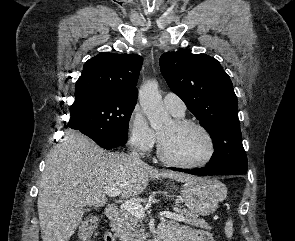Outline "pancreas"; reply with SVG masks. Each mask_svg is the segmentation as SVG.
<instances>
[{
	"instance_id": "pancreas-1",
	"label": "pancreas",
	"mask_w": 295,
	"mask_h": 241,
	"mask_svg": "<svg viewBox=\"0 0 295 241\" xmlns=\"http://www.w3.org/2000/svg\"><path fill=\"white\" fill-rule=\"evenodd\" d=\"M176 209L185 217L184 222L186 224L207 230L211 229L205 220L198 218V216L191 211L181 206ZM141 223V218H137L130 212L124 210L120 217L111 223V230L121 241H141L144 235V229L142 228Z\"/></svg>"
}]
</instances>
